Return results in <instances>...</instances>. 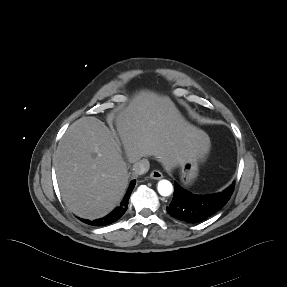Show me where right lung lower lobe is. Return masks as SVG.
Returning <instances> with one entry per match:
<instances>
[{"label":"right lung lower lobe","mask_w":287,"mask_h":287,"mask_svg":"<svg viewBox=\"0 0 287 287\" xmlns=\"http://www.w3.org/2000/svg\"><path fill=\"white\" fill-rule=\"evenodd\" d=\"M135 184H136V181L133 180L130 183L129 188H128V190H127V192H126V194H125L120 206L115 208L107 216H105L103 218H100V219L93 220V221L85 220V219H80V220L83 221L84 223H86L88 225H92V226H106V225H109V224H111L113 222H116L126 212L127 207H128V200L130 198L131 192L134 189Z\"/></svg>","instance_id":"obj_1"}]
</instances>
